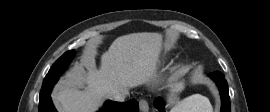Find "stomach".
Masks as SVG:
<instances>
[{"mask_svg":"<svg viewBox=\"0 0 270 112\" xmlns=\"http://www.w3.org/2000/svg\"><path fill=\"white\" fill-rule=\"evenodd\" d=\"M168 94H167V100L168 104L175 105L176 103L178 104L179 102V93L182 92L185 88V83L183 80H180L177 77H172L169 80L168 83Z\"/></svg>","mask_w":270,"mask_h":112,"instance_id":"1","label":"stomach"}]
</instances>
